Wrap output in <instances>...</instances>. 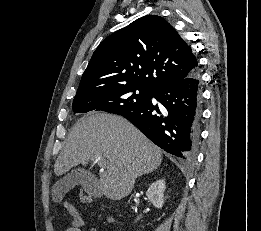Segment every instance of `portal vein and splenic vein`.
I'll return each instance as SVG.
<instances>
[{
  "mask_svg": "<svg viewBox=\"0 0 261 231\" xmlns=\"http://www.w3.org/2000/svg\"><path fill=\"white\" fill-rule=\"evenodd\" d=\"M98 164L100 167H105L106 166V161L104 159H99Z\"/></svg>",
  "mask_w": 261,
  "mask_h": 231,
  "instance_id": "18ae733b",
  "label": "portal vein and splenic vein"
}]
</instances>
